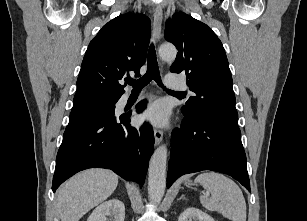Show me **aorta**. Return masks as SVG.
Segmentation results:
<instances>
[{"mask_svg":"<svg viewBox=\"0 0 307 221\" xmlns=\"http://www.w3.org/2000/svg\"><path fill=\"white\" fill-rule=\"evenodd\" d=\"M159 55L165 61H172L176 58L177 49L173 45H164L160 47ZM167 151L165 144L159 146L149 162L148 196L153 203H159L165 192Z\"/></svg>","mask_w":307,"mask_h":221,"instance_id":"762f6f07","label":"aorta"}]
</instances>
